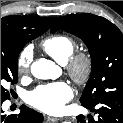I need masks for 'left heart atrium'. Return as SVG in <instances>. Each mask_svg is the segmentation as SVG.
Wrapping results in <instances>:
<instances>
[{"label": "left heart atrium", "mask_w": 123, "mask_h": 123, "mask_svg": "<svg viewBox=\"0 0 123 123\" xmlns=\"http://www.w3.org/2000/svg\"><path fill=\"white\" fill-rule=\"evenodd\" d=\"M73 91L66 82L38 86L27 96V102L46 113H57L72 98Z\"/></svg>", "instance_id": "1"}]
</instances>
